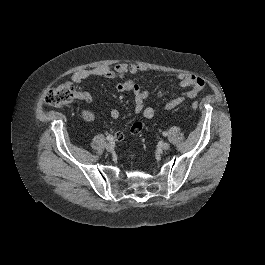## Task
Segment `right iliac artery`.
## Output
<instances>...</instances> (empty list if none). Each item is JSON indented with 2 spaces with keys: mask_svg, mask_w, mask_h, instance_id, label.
<instances>
[{
  "mask_svg": "<svg viewBox=\"0 0 265 265\" xmlns=\"http://www.w3.org/2000/svg\"><path fill=\"white\" fill-rule=\"evenodd\" d=\"M106 139H107L108 141H113V136H112V135H108V136L106 137Z\"/></svg>",
  "mask_w": 265,
  "mask_h": 265,
  "instance_id": "obj_1",
  "label": "right iliac artery"
}]
</instances>
